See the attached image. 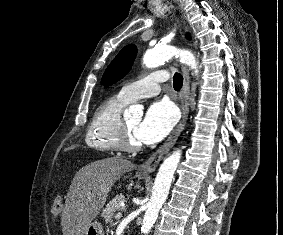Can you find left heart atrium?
Here are the masks:
<instances>
[{"label":"left heart atrium","mask_w":283,"mask_h":235,"mask_svg":"<svg viewBox=\"0 0 283 235\" xmlns=\"http://www.w3.org/2000/svg\"><path fill=\"white\" fill-rule=\"evenodd\" d=\"M177 121L175 107L166 100L153 103L136 128L139 142L153 144L166 137Z\"/></svg>","instance_id":"39dd6f15"}]
</instances>
